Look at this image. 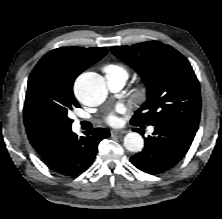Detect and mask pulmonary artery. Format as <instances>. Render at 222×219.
Wrapping results in <instances>:
<instances>
[{"label":"pulmonary artery","instance_id":"1","mask_svg":"<svg viewBox=\"0 0 222 219\" xmlns=\"http://www.w3.org/2000/svg\"><path fill=\"white\" fill-rule=\"evenodd\" d=\"M127 80V76L121 72H113V73H107L106 74V82H107V86L108 89L112 92H118L120 91ZM80 120L79 119H75L74 124L75 125H79ZM154 128L150 127L149 131L153 132Z\"/></svg>","mask_w":222,"mask_h":219}]
</instances>
